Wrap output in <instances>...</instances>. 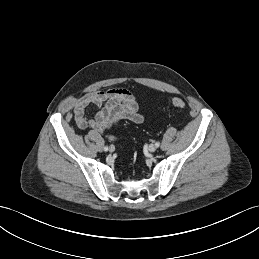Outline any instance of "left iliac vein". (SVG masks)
I'll return each mask as SVG.
<instances>
[{"mask_svg":"<svg viewBox=\"0 0 259 259\" xmlns=\"http://www.w3.org/2000/svg\"><path fill=\"white\" fill-rule=\"evenodd\" d=\"M148 149H149L150 152H155L156 149H157V146L155 144H150Z\"/></svg>","mask_w":259,"mask_h":259,"instance_id":"obj_1","label":"left iliac vein"}]
</instances>
